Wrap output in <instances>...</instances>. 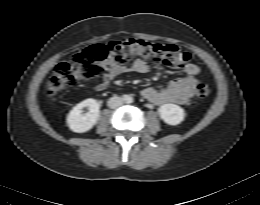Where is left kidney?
Segmentation results:
<instances>
[{"label":"left kidney","mask_w":260,"mask_h":205,"mask_svg":"<svg viewBox=\"0 0 260 205\" xmlns=\"http://www.w3.org/2000/svg\"><path fill=\"white\" fill-rule=\"evenodd\" d=\"M160 118L168 125L176 126L185 118V111L175 104H164L158 109Z\"/></svg>","instance_id":"left-kidney-1"}]
</instances>
